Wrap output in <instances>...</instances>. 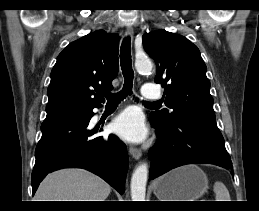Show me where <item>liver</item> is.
Segmentation results:
<instances>
[{"instance_id": "6515ba94", "label": "liver", "mask_w": 259, "mask_h": 211, "mask_svg": "<svg viewBox=\"0 0 259 211\" xmlns=\"http://www.w3.org/2000/svg\"><path fill=\"white\" fill-rule=\"evenodd\" d=\"M111 187L97 175L78 168L63 169L46 176L35 201H105Z\"/></svg>"}]
</instances>
